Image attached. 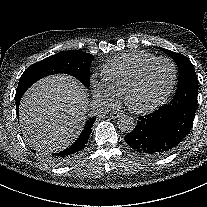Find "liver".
Segmentation results:
<instances>
[{
	"label": "liver",
	"instance_id": "obj_1",
	"mask_svg": "<svg viewBox=\"0 0 207 207\" xmlns=\"http://www.w3.org/2000/svg\"><path fill=\"white\" fill-rule=\"evenodd\" d=\"M88 110V94L76 78L49 75L24 93L19 124L31 147L44 152L63 151L79 137Z\"/></svg>",
	"mask_w": 207,
	"mask_h": 207
}]
</instances>
